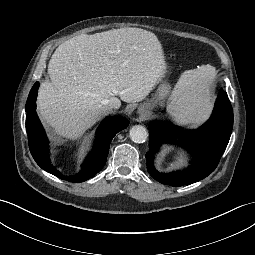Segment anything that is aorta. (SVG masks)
Wrapping results in <instances>:
<instances>
[{"label": "aorta", "mask_w": 255, "mask_h": 255, "mask_svg": "<svg viewBox=\"0 0 255 255\" xmlns=\"http://www.w3.org/2000/svg\"><path fill=\"white\" fill-rule=\"evenodd\" d=\"M129 137L135 143H143L148 137V132L144 126L135 125L130 129Z\"/></svg>", "instance_id": "obj_1"}]
</instances>
